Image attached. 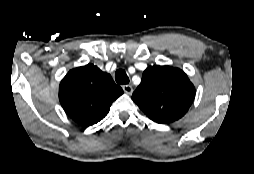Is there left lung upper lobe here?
Instances as JSON below:
<instances>
[{
  "label": "left lung upper lobe",
  "mask_w": 254,
  "mask_h": 174,
  "mask_svg": "<svg viewBox=\"0 0 254 174\" xmlns=\"http://www.w3.org/2000/svg\"><path fill=\"white\" fill-rule=\"evenodd\" d=\"M195 88L188 76L170 66H150L132 95L133 101L154 122L178 120L188 111Z\"/></svg>",
  "instance_id": "5c2ea615"
}]
</instances>
